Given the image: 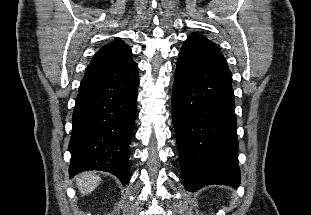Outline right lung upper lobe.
Wrapping results in <instances>:
<instances>
[{
    "mask_svg": "<svg viewBox=\"0 0 311 215\" xmlns=\"http://www.w3.org/2000/svg\"><path fill=\"white\" fill-rule=\"evenodd\" d=\"M133 61L132 52L128 45L120 39L103 46L94 55L90 64L94 65H126Z\"/></svg>",
    "mask_w": 311,
    "mask_h": 215,
    "instance_id": "cb5924a9",
    "label": "right lung upper lobe"
}]
</instances>
